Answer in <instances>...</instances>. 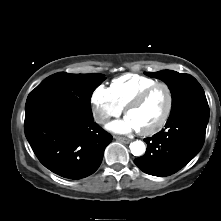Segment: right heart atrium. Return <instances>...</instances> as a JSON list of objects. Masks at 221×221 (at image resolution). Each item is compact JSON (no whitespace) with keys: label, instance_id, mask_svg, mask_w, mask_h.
I'll list each match as a JSON object with an SVG mask.
<instances>
[{"label":"right heart atrium","instance_id":"1","mask_svg":"<svg viewBox=\"0 0 221 221\" xmlns=\"http://www.w3.org/2000/svg\"><path fill=\"white\" fill-rule=\"evenodd\" d=\"M91 106L94 120L101 125L122 113V108L115 101L110 88L102 84L94 89L91 95Z\"/></svg>","mask_w":221,"mask_h":221}]
</instances>
